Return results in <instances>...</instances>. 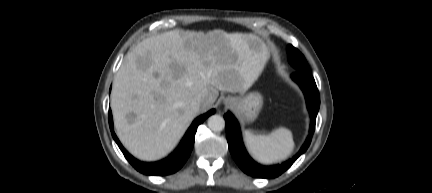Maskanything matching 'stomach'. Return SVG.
<instances>
[{"instance_id": "0dacf381", "label": "stomach", "mask_w": 432, "mask_h": 193, "mask_svg": "<svg viewBox=\"0 0 432 193\" xmlns=\"http://www.w3.org/2000/svg\"><path fill=\"white\" fill-rule=\"evenodd\" d=\"M233 100L232 104H228L229 100ZM225 102L238 114V116L245 122H253L262 106L263 97L258 92H251L241 97H228Z\"/></svg>"}]
</instances>
